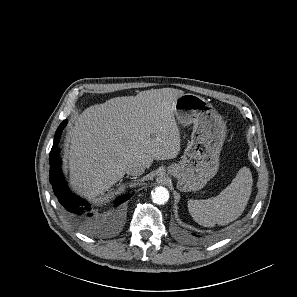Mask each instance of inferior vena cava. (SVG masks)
Here are the masks:
<instances>
[{"label": "inferior vena cava", "mask_w": 297, "mask_h": 297, "mask_svg": "<svg viewBox=\"0 0 297 297\" xmlns=\"http://www.w3.org/2000/svg\"><path fill=\"white\" fill-rule=\"evenodd\" d=\"M144 171L145 167L142 164L136 162H129L125 168V172L131 176L142 175Z\"/></svg>", "instance_id": "inferior-vena-cava-1"}]
</instances>
